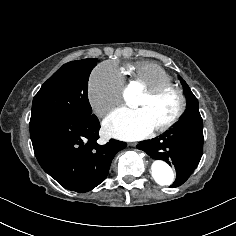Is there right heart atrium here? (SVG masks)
Here are the masks:
<instances>
[{
	"label": "right heart atrium",
	"instance_id": "d8ad5b80",
	"mask_svg": "<svg viewBox=\"0 0 236 236\" xmlns=\"http://www.w3.org/2000/svg\"><path fill=\"white\" fill-rule=\"evenodd\" d=\"M123 83L120 72L108 63L100 64L91 72L88 99L95 115L103 117L119 104Z\"/></svg>",
	"mask_w": 236,
	"mask_h": 236
}]
</instances>
